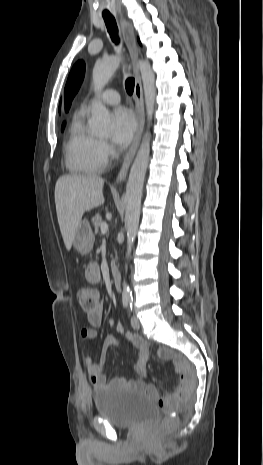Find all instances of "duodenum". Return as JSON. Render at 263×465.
Masks as SVG:
<instances>
[{"instance_id":"1","label":"duodenum","mask_w":263,"mask_h":465,"mask_svg":"<svg viewBox=\"0 0 263 465\" xmlns=\"http://www.w3.org/2000/svg\"><path fill=\"white\" fill-rule=\"evenodd\" d=\"M113 284L117 290L121 289V274L118 271H114L112 274Z\"/></svg>"}]
</instances>
